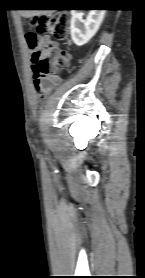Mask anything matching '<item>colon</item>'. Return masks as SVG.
Wrapping results in <instances>:
<instances>
[{
    "label": "colon",
    "instance_id": "5ec220e1",
    "mask_svg": "<svg viewBox=\"0 0 145 278\" xmlns=\"http://www.w3.org/2000/svg\"><path fill=\"white\" fill-rule=\"evenodd\" d=\"M34 32H27L25 40L27 46L34 50L31 61L33 62L34 78L36 81L51 76L49 84L58 83V72L70 61V55L58 48L52 42L43 43L38 34H49L56 38H65L69 29V18L66 14H53L30 22ZM42 92V91H41Z\"/></svg>",
    "mask_w": 145,
    "mask_h": 278
}]
</instances>
